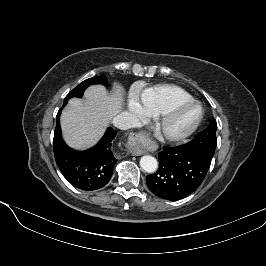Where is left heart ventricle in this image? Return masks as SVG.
Wrapping results in <instances>:
<instances>
[{"instance_id": "left-heart-ventricle-1", "label": "left heart ventricle", "mask_w": 266, "mask_h": 266, "mask_svg": "<svg viewBox=\"0 0 266 266\" xmlns=\"http://www.w3.org/2000/svg\"><path fill=\"white\" fill-rule=\"evenodd\" d=\"M197 110L195 108H190L182 112L178 117H176L170 124V130L177 132L185 129L195 118Z\"/></svg>"}]
</instances>
